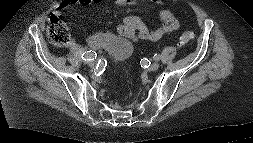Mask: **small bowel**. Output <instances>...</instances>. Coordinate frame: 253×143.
<instances>
[{"label": "small bowel", "instance_id": "small-bowel-1", "mask_svg": "<svg viewBox=\"0 0 253 143\" xmlns=\"http://www.w3.org/2000/svg\"><path fill=\"white\" fill-rule=\"evenodd\" d=\"M101 0H62L57 7L55 14L60 15L67 7L77 4H95ZM119 5H135L141 0H115ZM160 4L162 0H150ZM179 20L176 18L171 9L166 8L160 12L159 24L156 28L150 29L139 17L131 15L124 18L123 22L118 26L117 32L121 38L130 42L138 41H157L164 35L178 29ZM117 38L113 33L101 32L90 34L86 38L87 45L96 50H110L116 44Z\"/></svg>", "mask_w": 253, "mask_h": 143}]
</instances>
